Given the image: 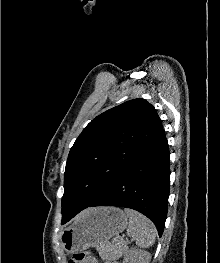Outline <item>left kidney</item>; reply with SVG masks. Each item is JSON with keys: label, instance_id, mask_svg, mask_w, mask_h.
<instances>
[{"label": "left kidney", "instance_id": "obj_1", "mask_svg": "<svg viewBox=\"0 0 220 263\" xmlns=\"http://www.w3.org/2000/svg\"><path fill=\"white\" fill-rule=\"evenodd\" d=\"M151 255L148 252H142L136 249L129 250L123 263H149Z\"/></svg>", "mask_w": 220, "mask_h": 263}]
</instances>
